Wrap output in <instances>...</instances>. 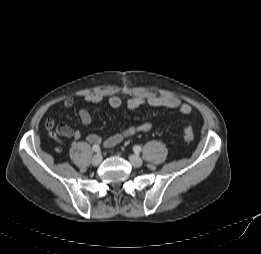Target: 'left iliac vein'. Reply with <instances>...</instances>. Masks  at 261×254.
<instances>
[{
  "label": "left iliac vein",
  "instance_id": "left-iliac-vein-1",
  "mask_svg": "<svg viewBox=\"0 0 261 254\" xmlns=\"http://www.w3.org/2000/svg\"><path fill=\"white\" fill-rule=\"evenodd\" d=\"M129 160H130L131 164H132L134 167H136V168L141 167L142 164H143L142 159H141L139 156H137V155H130V156H129Z\"/></svg>",
  "mask_w": 261,
  "mask_h": 254
}]
</instances>
